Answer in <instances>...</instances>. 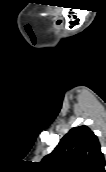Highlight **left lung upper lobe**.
I'll list each match as a JSON object with an SVG mask.
<instances>
[{
  "label": "left lung upper lobe",
  "instance_id": "obj_1",
  "mask_svg": "<svg viewBox=\"0 0 106 172\" xmlns=\"http://www.w3.org/2000/svg\"><path fill=\"white\" fill-rule=\"evenodd\" d=\"M39 167L43 172H106L98 138L87 126L72 128Z\"/></svg>",
  "mask_w": 106,
  "mask_h": 172
}]
</instances>
